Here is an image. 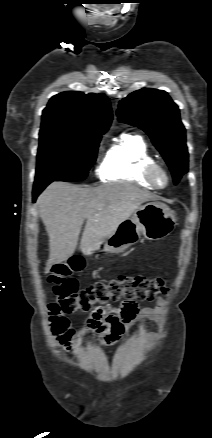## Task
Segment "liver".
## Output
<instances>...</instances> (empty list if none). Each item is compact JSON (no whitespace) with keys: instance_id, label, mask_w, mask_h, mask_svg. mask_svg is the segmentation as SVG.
I'll list each match as a JSON object with an SVG mask.
<instances>
[{"instance_id":"obj_1","label":"liver","mask_w":212,"mask_h":438,"mask_svg":"<svg viewBox=\"0 0 212 438\" xmlns=\"http://www.w3.org/2000/svg\"><path fill=\"white\" fill-rule=\"evenodd\" d=\"M157 199V195L128 183L96 188L63 182L50 184L37 200L39 215L49 236L45 272L73 255L85 220L80 249L84 255H92L141 204Z\"/></svg>"}]
</instances>
